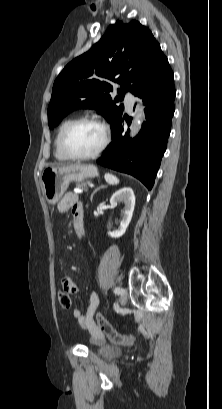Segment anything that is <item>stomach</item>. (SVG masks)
I'll use <instances>...</instances> for the list:
<instances>
[{
    "label": "stomach",
    "mask_w": 222,
    "mask_h": 409,
    "mask_svg": "<svg viewBox=\"0 0 222 409\" xmlns=\"http://www.w3.org/2000/svg\"><path fill=\"white\" fill-rule=\"evenodd\" d=\"M97 175V167L91 164L73 163L62 167H48L41 175L42 191L48 204L55 205L70 182H83Z\"/></svg>",
    "instance_id": "0dacf381"
}]
</instances>
